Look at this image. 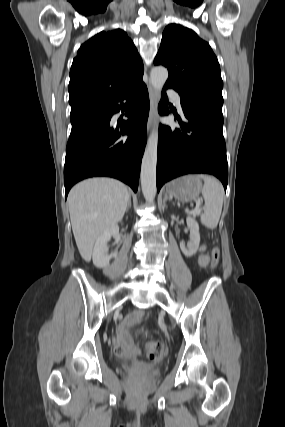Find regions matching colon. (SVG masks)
Instances as JSON below:
<instances>
[{"mask_svg": "<svg viewBox=\"0 0 285 427\" xmlns=\"http://www.w3.org/2000/svg\"><path fill=\"white\" fill-rule=\"evenodd\" d=\"M220 260V251L218 247H214L211 251V266L217 267ZM146 352L151 360H160L164 355V345L162 342L157 340H148L145 344ZM118 353H123L124 349L119 346L117 348Z\"/></svg>", "mask_w": 285, "mask_h": 427, "instance_id": "colon-1", "label": "colon"}]
</instances>
